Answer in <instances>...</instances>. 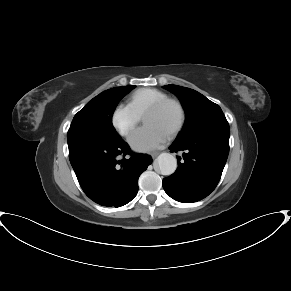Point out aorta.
Masks as SVG:
<instances>
[{
	"instance_id": "1",
	"label": "aorta",
	"mask_w": 291,
	"mask_h": 291,
	"mask_svg": "<svg viewBox=\"0 0 291 291\" xmlns=\"http://www.w3.org/2000/svg\"><path fill=\"white\" fill-rule=\"evenodd\" d=\"M157 164L162 175L169 176L173 174L177 168V160L170 153H161L157 157Z\"/></svg>"
}]
</instances>
